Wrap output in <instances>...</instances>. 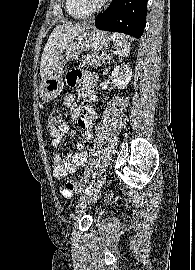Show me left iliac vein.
I'll use <instances>...</instances> for the list:
<instances>
[{
  "instance_id": "obj_1",
  "label": "left iliac vein",
  "mask_w": 195,
  "mask_h": 270,
  "mask_svg": "<svg viewBox=\"0 0 195 270\" xmlns=\"http://www.w3.org/2000/svg\"><path fill=\"white\" fill-rule=\"evenodd\" d=\"M105 178L101 177L90 189L88 193H86L84 196L81 197L77 207L76 211L79 213L82 211L86 205L98 194L99 190L103 186Z\"/></svg>"
}]
</instances>
